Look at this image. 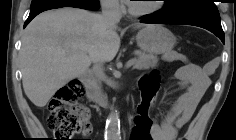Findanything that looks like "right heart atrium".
<instances>
[{
  "mask_svg": "<svg viewBox=\"0 0 236 140\" xmlns=\"http://www.w3.org/2000/svg\"><path fill=\"white\" fill-rule=\"evenodd\" d=\"M103 8L112 14H122L124 7L120 0H101Z\"/></svg>",
  "mask_w": 236,
  "mask_h": 140,
  "instance_id": "obj_1",
  "label": "right heart atrium"
}]
</instances>
